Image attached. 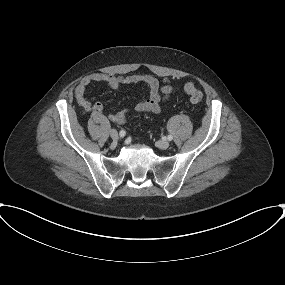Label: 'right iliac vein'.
I'll use <instances>...</instances> for the list:
<instances>
[{
  "mask_svg": "<svg viewBox=\"0 0 285 285\" xmlns=\"http://www.w3.org/2000/svg\"><path fill=\"white\" fill-rule=\"evenodd\" d=\"M110 136L114 141H117L119 139L118 132L115 129L110 130Z\"/></svg>",
  "mask_w": 285,
  "mask_h": 285,
  "instance_id": "obj_1",
  "label": "right iliac vein"
}]
</instances>
